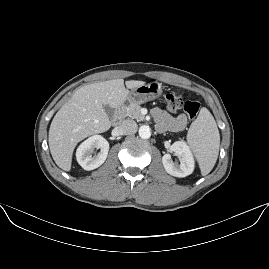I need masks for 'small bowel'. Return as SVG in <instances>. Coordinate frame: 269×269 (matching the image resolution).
I'll use <instances>...</instances> for the list:
<instances>
[{
    "mask_svg": "<svg viewBox=\"0 0 269 269\" xmlns=\"http://www.w3.org/2000/svg\"><path fill=\"white\" fill-rule=\"evenodd\" d=\"M152 115L157 122V129L159 131L170 130L179 132L182 131L187 124V117L184 114L172 117L159 107L152 110Z\"/></svg>",
    "mask_w": 269,
    "mask_h": 269,
    "instance_id": "c3829d8e",
    "label": "small bowel"
}]
</instances>
